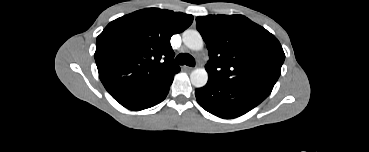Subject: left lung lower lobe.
<instances>
[{"label":"left lung lower lobe","mask_w":369,"mask_h":152,"mask_svg":"<svg viewBox=\"0 0 369 152\" xmlns=\"http://www.w3.org/2000/svg\"><path fill=\"white\" fill-rule=\"evenodd\" d=\"M195 95L201 107L225 119L247 113L267 97L263 93L229 86L210 77L206 86L196 89Z\"/></svg>","instance_id":"1"}]
</instances>
